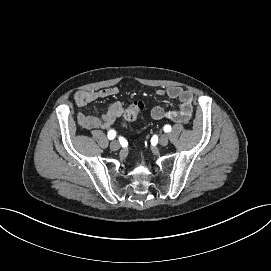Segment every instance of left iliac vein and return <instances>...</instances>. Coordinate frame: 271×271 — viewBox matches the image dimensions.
<instances>
[{
  "mask_svg": "<svg viewBox=\"0 0 271 271\" xmlns=\"http://www.w3.org/2000/svg\"><path fill=\"white\" fill-rule=\"evenodd\" d=\"M168 136L167 135H161L160 138H159V143L162 145V146H166L168 144Z\"/></svg>",
  "mask_w": 271,
  "mask_h": 271,
  "instance_id": "1",
  "label": "left iliac vein"
}]
</instances>
